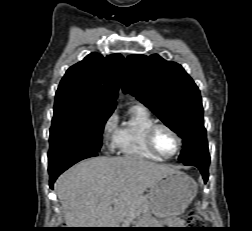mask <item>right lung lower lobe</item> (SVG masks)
<instances>
[{"instance_id":"obj_1","label":"right lung lower lobe","mask_w":252,"mask_h":231,"mask_svg":"<svg viewBox=\"0 0 252 231\" xmlns=\"http://www.w3.org/2000/svg\"><path fill=\"white\" fill-rule=\"evenodd\" d=\"M97 152H84V153H76V154H70L66 155L64 157H61L59 159H56L54 161L49 162V185L50 188L53 187V184L57 177L66 169L77 163L78 161H81L83 159L97 156Z\"/></svg>"}]
</instances>
